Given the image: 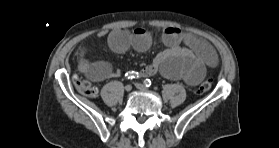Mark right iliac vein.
<instances>
[{"mask_svg": "<svg viewBox=\"0 0 279 148\" xmlns=\"http://www.w3.org/2000/svg\"><path fill=\"white\" fill-rule=\"evenodd\" d=\"M131 89H132L131 85L128 84L125 86V91L129 92V91H131Z\"/></svg>", "mask_w": 279, "mask_h": 148, "instance_id": "obj_1", "label": "right iliac vein"}]
</instances>
